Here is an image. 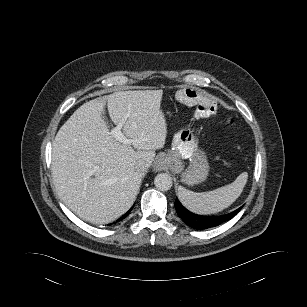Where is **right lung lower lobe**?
<instances>
[{
  "label": "right lung lower lobe",
  "instance_id": "98d812e1",
  "mask_svg": "<svg viewBox=\"0 0 307 307\" xmlns=\"http://www.w3.org/2000/svg\"><path fill=\"white\" fill-rule=\"evenodd\" d=\"M131 210H132V208H131L126 214H124L122 218H119V219L117 220V222L120 221V220H122L123 218H125V217L130 213Z\"/></svg>",
  "mask_w": 307,
  "mask_h": 307
}]
</instances>
